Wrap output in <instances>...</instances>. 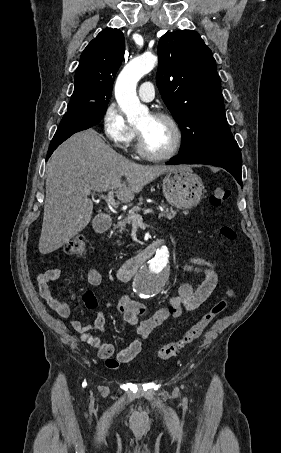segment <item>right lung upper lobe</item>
<instances>
[{"mask_svg":"<svg viewBox=\"0 0 281 453\" xmlns=\"http://www.w3.org/2000/svg\"><path fill=\"white\" fill-rule=\"evenodd\" d=\"M124 52L125 41L121 30L108 28L100 32L80 57L68 107L107 105Z\"/></svg>","mask_w":281,"mask_h":453,"instance_id":"obj_1","label":"right lung upper lobe"}]
</instances>
